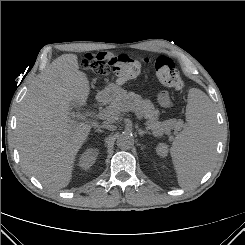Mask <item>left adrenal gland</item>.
Here are the masks:
<instances>
[{
  "mask_svg": "<svg viewBox=\"0 0 245 245\" xmlns=\"http://www.w3.org/2000/svg\"><path fill=\"white\" fill-rule=\"evenodd\" d=\"M138 133H139L140 137H143L145 134H150L149 131H144L142 129H138Z\"/></svg>",
  "mask_w": 245,
  "mask_h": 245,
  "instance_id": "a2214340",
  "label": "left adrenal gland"
}]
</instances>
